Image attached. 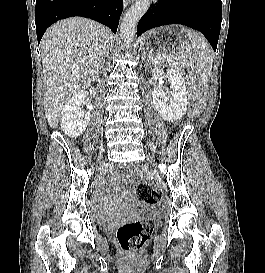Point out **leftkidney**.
<instances>
[{"label":"left kidney","mask_w":265,"mask_h":273,"mask_svg":"<svg viewBox=\"0 0 265 273\" xmlns=\"http://www.w3.org/2000/svg\"><path fill=\"white\" fill-rule=\"evenodd\" d=\"M167 77L170 80V87L173 93L160 88H154L152 91L153 104L160 116L169 122L180 119L187 110L186 85L182 75L175 69H167Z\"/></svg>","instance_id":"1"}]
</instances>
